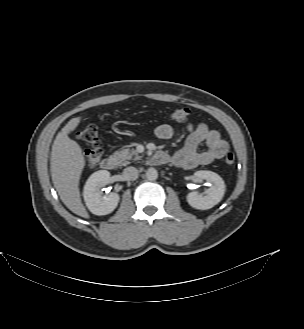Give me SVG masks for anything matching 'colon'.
<instances>
[{"label":"colon","mask_w":304,"mask_h":329,"mask_svg":"<svg viewBox=\"0 0 304 329\" xmlns=\"http://www.w3.org/2000/svg\"><path fill=\"white\" fill-rule=\"evenodd\" d=\"M158 115L162 119L184 122L189 118V110L186 108H181L170 113L159 112ZM77 138L89 145V149L85 154V168L87 170L95 168L103 155V148L99 138L98 127L94 124L86 125L77 132ZM224 162L228 166L235 162L233 152H226L224 155Z\"/></svg>","instance_id":"colon-1"}]
</instances>
